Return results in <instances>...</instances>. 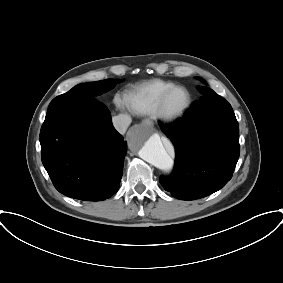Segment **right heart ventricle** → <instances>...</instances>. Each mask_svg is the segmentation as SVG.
Masks as SVG:
<instances>
[{"label": "right heart ventricle", "mask_w": 283, "mask_h": 283, "mask_svg": "<svg viewBox=\"0 0 283 283\" xmlns=\"http://www.w3.org/2000/svg\"><path fill=\"white\" fill-rule=\"evenodd\" d=\"M173 86L172 82L153 79L127 93L124 100L128 108L137 115L154 114L161 95Z\"/></svg>", "instance_id": "1"}]
</instances>
